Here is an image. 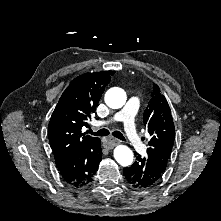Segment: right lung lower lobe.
<instances>
[{"instance_id":"right-lung-lower-lobe-1","label":"right lung lower lobe","mask_w":221,"mask_h":221,"mask_svg":"<svg viewBox=\"0 0 221 221\" xmlns=\"http://www.w3.org/2000/svg\"><path fill=\"white\" fill-rule=\"evenodd\" d=\"M101 141L98 138L74 153L60 167H57L63 180L74 186L83 187L92 181L102 160Z\"/></svg>"}]
</instances>
